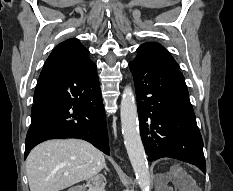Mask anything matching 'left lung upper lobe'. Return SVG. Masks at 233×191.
Listing matches in <instances>:
<instances>
[{
	"instance_id": "5c2ea615",
	"label": "left lung upper lobe",
	"mask_w": 233,
	"mask_h": 191,
	"mask_svg": "<svg viewBox=\"0 0 233 191\" xmlns=\"http://www.w3.org/2000/svg\"><path fill=\"white\" fill-rule=\"evenodd\" d=\"M138 58H150L159 61H163L176 68H179L170 53L158 43H144L138 49Z\"/></svg>"
}]
</instances>
